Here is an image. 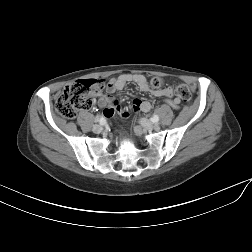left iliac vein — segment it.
Returning a JSON list of instances; mask_svg holds the SVG:
<instances>
[{
	"mask_svg": "<svg viewBox=\"0 0 252 252\" xmlns=\"http://www.w3.org/2000/svg\"><path fill=\"white\" fill-rule=\"evenodd\" d=\"M140 123L142 125V127L148 131L153 130L155 127H157V125H154L152 122L148 121L147 119L142 118L140 120Z\"/></svg>",
	"mask_w": 252,
	"mask_h": 252,
	"instance_id": "left-iliac-vein-1",
	"label": "left iliac vein"
}]
</instances>
